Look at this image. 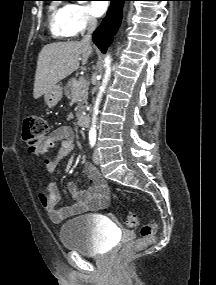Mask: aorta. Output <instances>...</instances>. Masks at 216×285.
I'll return each mask as SVG.
<instances>
[{
  "instance_id": "1",
  "label": "aorta",
  "mask_w": 216,
  "mask_h": 285,
  "mask_svg": "<svg viewBox=\"0 0 216 285\" xmlns=\"http://www.w3.org/2000/svg\"><path fill=\"white\" fill-rule=\"evenodd\" d=\"M110 64H111V58L109 55H107V57L105 58V64H104V66L106 68L105 76H104V79H103L102 85L100 87V91H99V94H98V97H97V100H96V103L94 106V115H93V119H92V127L90 129L91 135L96 134V115L98 114V105H99L102 93L105 91V87H106V84L108 82V79H109V76L111 73Z\"/></svg>"
}]
</instances>
